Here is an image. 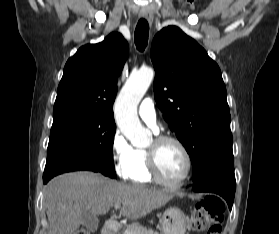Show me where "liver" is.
<instances>
[{
	"label": "liver",
	"mask_w": 279,
	"mask_h": 234,
	"mask_svg": "<svg viewBox=\"0 0 279 234\" xmlns=\"http://www.w3.org/2000/svg\"><path fill=\"white\" fill-rule=\"evenodd\" d=\"M172 197L163 190L124 184L92 172L66 173L52 179L44 189L47 234H74L84 212L104 215L115 203L122 204L123 217L140 219Z\"/></svg>",
	"instance_id": "obj_1"
}]
</instances>
